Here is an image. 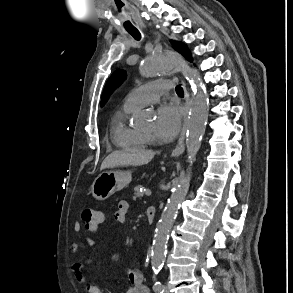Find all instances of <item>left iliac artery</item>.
Segmentation results:
<instances>
[{"instance_id": "left-iliac-artery-1", "label": "left iliac artery", "mask_w": 293, "mask_h": 293, "mask_svg": "<svg viewBox=\"0 0 293 293\" xmlns=\"http://www.w3.org/2000/svg\"><path fill=\"white\" fill-rule=\"evenodd\" d=\"M159 273V270L154 269V275H153V290L156 293H163L164 292V285L157 279V274Z\"/></svg>"}]
</instances>
